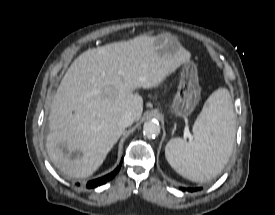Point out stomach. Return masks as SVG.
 <instances>
[{
	"label": "stomach",
	"mask_w": 275,
	"mask_h": 215,
	"mask_svg": "<svg viewBox=\"0 0 275 215\" xmlns=\"http://www.w3.org/2000/svg\"><path fill=\"white\" fill-rule=\"evenodd\" d=\"M154 47L160 55H174L181 48L177 38L169 33L158 35ZM200 95L197 66L191 62L185 63L180 73L177 93L170 107L171 113L182 118L190 116L200 101Z\"/></svg>",
	"instance_id": "stomach-1"
}]
</instances>
